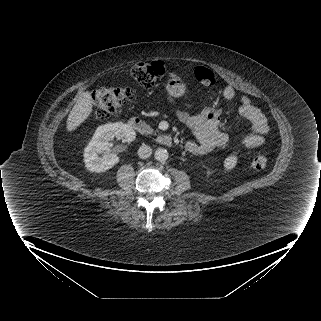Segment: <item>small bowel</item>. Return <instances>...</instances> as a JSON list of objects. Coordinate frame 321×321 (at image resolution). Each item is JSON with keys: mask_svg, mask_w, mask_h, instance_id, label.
<instances>
[{"mask_svg": "<svg viewBox=\"0 0 321 321\" xmlns=\"http://www.w3.org/2000/svg\"><path fill=\"white\" fill-rule=\"evenodd\" d=\"M223 94L227 100L236 97V91L230 86L224 89ZM238 112L250 123L251 128V133L242 139L241 145L248 150L261 146L270 129L264 113L247 96L240 98ZM176 115L194 137L193 140L186 142V149L190 154L203 155L227 145L228 136L221 130L220 108H206L192 112L191 107L187 106L177 109Z\"/></svg>", "mask_w": 321, "mask_h": 321, "instance_id": "small-bowel-1", "label": "small bowel"}]
</instances>
